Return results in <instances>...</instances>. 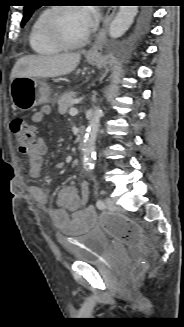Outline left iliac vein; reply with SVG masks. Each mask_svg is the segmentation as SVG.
<instances>
[{
  "label": "left iliac vein",
  "instance_id": "1",
  "mask_svg": "<svg viewBox=\"0 0 184 327\" xmlns=\"http://www.w3.org/2000/svg\"><path fill=\"white\" fill-rule=\"evenodd\" d=\"M105 202H106V206L109 210H116V204H115V201L110 198V197H107L105 199Z\"/></svg>",
  "mask_w": 184,
  "mask_h": 327
}]
</instances>
